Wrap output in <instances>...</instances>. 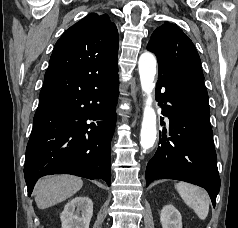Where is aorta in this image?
I'll use <instances>...</instances> for the list:
<instances>
[{
	"mask_svg": "<svg viewBox=\"0 0 238 228\" xmlns=\"http://www.w3.org/2000/svg\"><path fill=\"white\" fill-rule=\"evenodd\" d=\"M156 65V58L150 52H145L139 57L138 69L140 83L144 96L146 97L140 133V145L143 151L150 149L154 145L157 134L156 113L152 106Z\"/></svg>",
	"mask_w": 238,
	"mask_h": 228,
	"instance_id": "762f6f07",
	"label": "aorta"
}]
</instances>
